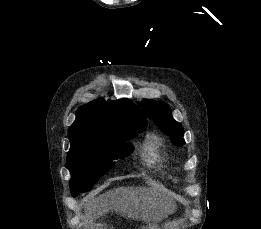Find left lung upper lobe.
I'll return each mask as SVG.
<instances>
[{
	"mask_svg": "<svg viewBox=\"0 0 261 229\" xmlns=\"http://www.w3.org/2000/svg\"><path fill=\"white\" fill-rule=\"evenodd\" d=\"M138 105L146 115L153 119L157 126L170 137L174 145L180 147L185 144L183 139L184 129L179 122L174 120L171 109L166 103L145 100L139 102Z\"/></svg>",
	"mask_w": 261,
	"mask_h": 229,
	"instance_id": "1",
	"label": "left lung upper lobe"
}]
</instances>
